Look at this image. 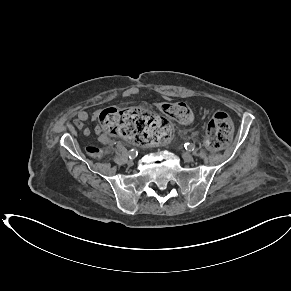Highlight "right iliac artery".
<instances>
[{"mask_svg": "<svg viewBox=\"0 0 291 291\" xmlns=\"http://www.w3.org/2000/svg\"><path fill=\"white\" fill-rule=\"evenodd\" d=\"M137 155H138L137 150H135V149H131V150L129 151V158H130V159H134Z\"/></svg>", "mask_w": 291, "mask_h": 291, "instance_id": "1", "label": "right iliac artery"}]
</instances>
